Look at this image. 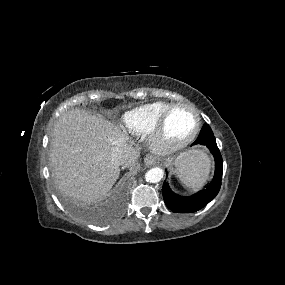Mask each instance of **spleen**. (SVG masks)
Masks as SVG:
<instances>
[{"mask_svg": "<svg viewBox=\"0 0 285 285\" xmlns=\"http://www.w3.org/2000/svg\"><path fill=\"white\" fill-rule=\"evenodd\" d=\"M210 168V158L196 149L181 155L176 165V174L186 187L197 190L206 182Z\"/></svg>", "mask_w": 285, "mask_h": 285, "instance_id": "obj_1", "label": "spleen"}]
</instances>
